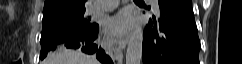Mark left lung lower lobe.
I'll return each mask as SVG.
<instances>
[{"instance_id":"obj_1","label":"left lung lower lobe","mask_w":242,"mask_h":64,"mask_svg":"<svg viewBox=\"0 0 242 64\" xmlns=\"http://www.w3.org/2000/svg\"><path fill=\"white\" fill-rule=\"evenodd\" d=\"M159 18L144 31L143 64H200L192 0H158Z\"/></svg>"}]
</instances>
